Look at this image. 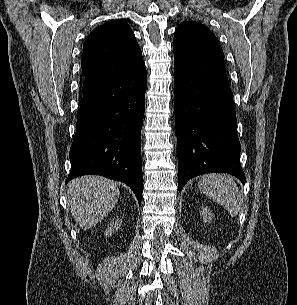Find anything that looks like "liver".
Returning <instances> with one entry per match:
<instances>
[{
	"instance_id": "1",
	"label": "liver",
	"mask_w": 297,
	"mask_h": 305,
	"mask_svg": "<svg viewBox=\"0 0 297 305\" xmlns=\"http://www.w3.org/2000/svg\"><path fill=\"white\" fill-rule=\"evenodd\" d=\"M119 195L120 191L112 180L101 176H82L69 183L67 202L76 223L88 229L111 212Z\"/></svg>"
}]
</instances>
